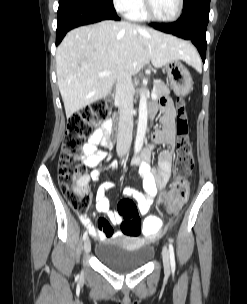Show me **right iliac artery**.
I'll list each match as a JSON object with an SVG mask.
<instances>
[{
	"label": "right iliac artery",
	"instance_id": "82829eb1",
	"mask_svg": "<svg viewBox=\"0 0 247 304\" xmlns=\"http://www.w3.org/2000/svg\"><path fill=\"white\" fill-rule=\"evenodd\" d=\"M87 236H88V233H87V231H86V232H84V234H83V240H86Z\"/></svg>",
	"mask_w": 247,
	"mask_h": 304
}]
</instances>
